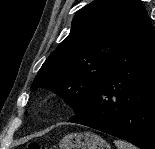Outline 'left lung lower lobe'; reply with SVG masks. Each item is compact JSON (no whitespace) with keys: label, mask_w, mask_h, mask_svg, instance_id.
I'll use <instances>...</instances> for the list:
<instances>
[{"label":"left lung lower lobe","mask_w":155,"mask_h":149,"mask_svg":"<svg viewBox=\"0 0 155 149\" xmlns=\"http://www.w3.org/2000/svg\"><path fill=\"white\" fill-rule=\"evenodd\" d=\"M68 122L82 124L140 149H155V32L144 15L108 73Z\"/></svg>","instance_id":"obj_1"}]
</instances>
